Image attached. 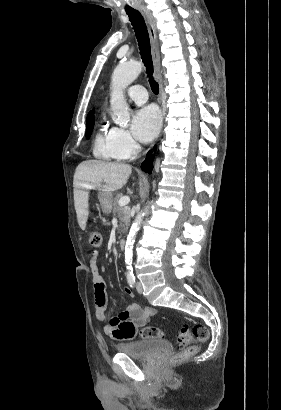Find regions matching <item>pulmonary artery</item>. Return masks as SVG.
Wrapping results in <instances>:
<instances>
[{"label":"pulmonary artery","instance_id":"pulmonary-artery-1","mask_svg":"<svg viewBox=\"0 0 281 410\" xmlns=\"http://www.w3.org/2000/svg\"><path fill=\"white\" fill-rule=\"evenodd\" d=\"M128 98L134 103L141 105L148 100L147 91L141 85H133L127 90Z\"/></svg>","mask_w":281,"mask_h":410}]
</instances>
